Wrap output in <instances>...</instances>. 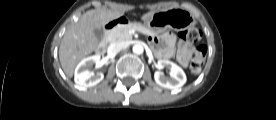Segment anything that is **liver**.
Masks as SVG:
<instances>
[{
	"mask_svg": "<svg viewBox=\"0 0 276 120\" xmlns=\"http://www.w3.org/2000/svg\"><path fill=\"white\" fill-rule=\"evenodd\" d=\"M154 12L144 14L142 20L148 19ZM123 14L122 10H89L66 31L59 47V59L62 69L68 77L73 76L77 63L97 48L98 38L95 36L94 30L104 27Z\"/></svg>",
	"mask_w": 276,
	"mask_h": 120,
	"instance_id": "1",
	"label": "liver"
}]
</instances>
